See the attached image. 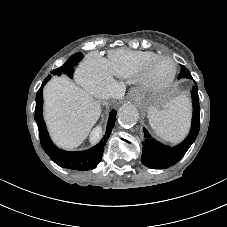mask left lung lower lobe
<instances>
[{
	"label": "left lung lower lobe",
	"mask_w": 227,
	"mask_h": 227,
	"mask_svg": "<svg viewBox=\"0 0 227 227\" xmlns=\"http://www.w3.org/2000/svg\"><path fill=\"white\" fill-rule=\"evenodd\" d=\"M194 84H196L194 82ZM198 87L193 85L191 97L193 101V117L189 135L177 146L169 147L151 138L148 131L144 129V141L142 142V163L154 169L168 168L176 164L187 152L196 140L200 128V106Z\"/></svg>",
	"instance_id": "1"
}]
</instances>
